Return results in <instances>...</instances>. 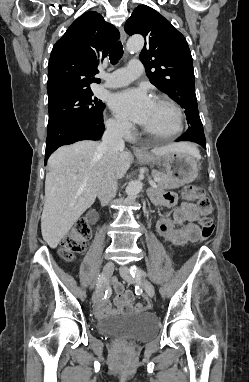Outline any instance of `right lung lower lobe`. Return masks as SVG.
Returning <instances> with one entry per match:
<instances>
[{
	"instance_id": "98d812e1",
	"label": "right lung lower lobe",
	"mask_w": 249,
	"mask_h": 382,
	"mask_svg": "<svg viewBox=\"0 0 249 382\" xmlns=\"http://www.w3.org/2000/svg\"><path fill=\"white\" fill-rule=\"evenodd\" d=\"M104 132L103 115L96 121L76 120L48 129L45 165L49 156L60 146L80 140H99Z\"/></svg>"
}]
</instances>
